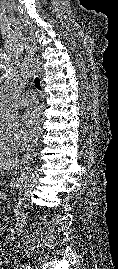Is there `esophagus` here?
I'll use <instances>...</instances> for the list:
<instances>
[{
  "label": "esophagus",
  "instance_id": "obj_1",
  "mask_svg": "<svg viewBox=\"0 0 118 269\" xmlns=\"http://www.w3.org/2000/svg\"><path fill=\"white\" fill-rule=\"evenodd\" d=\"M37 69H38V72L41 73V68H40V66H38ZM36 154H37V152L34 151V150L28 152L27 154H25V155L23 156V158H22V160H21L22 163H27V162L31 161V160L36 156Z\"/></svg>",
  "mask_w": 118,
  "mask_h": 269
}]
</instances>
